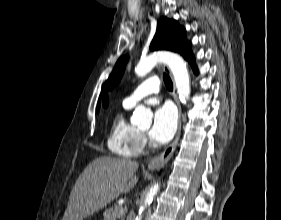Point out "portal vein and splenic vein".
Instances as JSON below:
<instances>
[{
  "label": "portal vein and splenic vein",
  "instance_id": "1",
  "mask_svg": "<svg viewBox=\"0 0 281 220\" xmlns=\"http://www.w3.org/2000/svg\"><path fill=\"white\" fill-rule=\"evenodd\" d=\"M126 208H123L120 210V214H123L125 212Z\"/></svg>",
  "mask_w": 281,
  "mask_h": 220
}]
</instances>
